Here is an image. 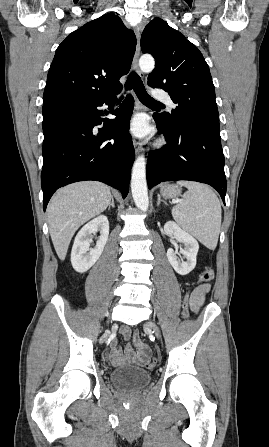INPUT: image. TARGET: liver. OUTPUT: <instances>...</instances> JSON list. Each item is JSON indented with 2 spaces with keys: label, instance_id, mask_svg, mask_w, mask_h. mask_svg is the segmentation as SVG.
<instances>
[{
  "label": "liver",
  "instance_id": "obj_1",
  "mask_svg": "<svg viewBox=\"0 0 269 447\" xmlns=\"http://www.w3.org/2000/svg\"><path fill=\"white\" fill-rule=\"evenodd\" d=\"M111 198L110 188L101 182H78L56 192L48 206V222L60 259H65L76 229L104 212Z\"/></svg>",
  "mask_w": 269,
  "mask_h": 447
}]
</instances>
